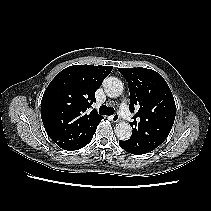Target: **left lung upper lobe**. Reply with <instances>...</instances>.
<instances>
[{
	"mask_svg": "<svg viewBox=\"0 0 211 211\" xmlns=\"http://www.w3.org/2000/svg\"><path fill=\"white\" fill-rule=\"evenodd\" d=\"M130 91L132 135L128 142L157 148L168 137L176 114L172 92L164 78L147 68H118Z\"/></svg>",
	"mask_w": 211,
	"mask_h": 211,
	"instance_id": "left-lung-upper-lobe-1",
	"label": "left lung upper lobe"
}]
</instances>
